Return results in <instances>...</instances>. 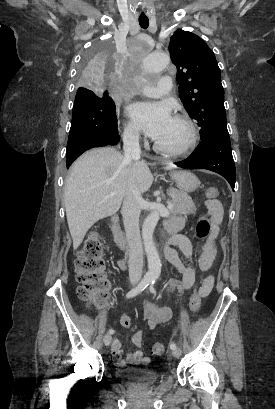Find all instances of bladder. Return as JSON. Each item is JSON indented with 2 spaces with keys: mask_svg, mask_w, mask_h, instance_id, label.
Instances as JSON below:
<instances>
[{
  "mask_svg": "<svg viewBox=\"0 0 275 409\" xmlns=\"http://www.w3.org/2000/svg\"><path fill=\"white\" fill-rule=\"evenodd\" d=\"M118 382H132L136 386H154L161 380V375L150 368H118Z\"/></svg>",
  "mask_w": 275,
  "mask_h": 409,
  "instance_id": "bladder-1",
  "label": "bladder"
}]
</instances>
